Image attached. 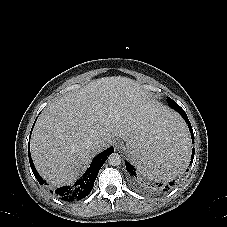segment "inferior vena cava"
I'll return each instance as SVG.
<instances>
[{"mask_svg": "<svg viewBox=\"0 0 227 227\" xmlns=\"http://www.w3.org/2000/svg\"><path fill=\"white\" fill-rule=\"evenodd\" d=\"M91 147L97 151H101L106 146L105 141L101 139L94 140L90 143Z\"/></svg>", "mask_w": 227, "mask_h": 227, "instance_id": "602c4592", "label": "inferior vena cava"}]
</instances>
